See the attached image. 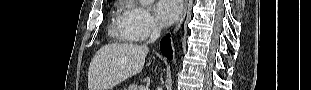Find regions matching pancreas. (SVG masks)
I'll list each match as a JSON object with an SVG mask.
<instances>
[{"mask_svg":"<svg viewBox=\"0 0 311 90\" xmlns=\"http://www.w3.org/2000/svg\"><path fill=\"white\" fill-rule=\"evenodd\" d=\"M141 88H139L137 86V84H132L131 86H129V88L127 90H140Z\"/></svg>","mask_w":311,"mask_h":90,"instance_id":"1","label":"pancreas"}]
</instances>
